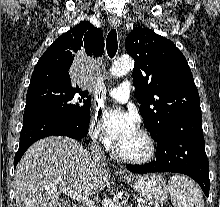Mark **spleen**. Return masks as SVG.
<instances>
[{"label":"spleen","mask_w":220,"mask_h":207,"mask_svg":"<svg viewBox=\"0 0 220 207\" xmlns=\"http://www.w3.org/2000/svg\"><path fill=\"white\" fill-rule=\"evenodd\" d=\"M168 190L174 207H204L199 187L190 179L175 175L169 178Z\"/></svg>","instance_id":"spleen-1"}]
</instances>
